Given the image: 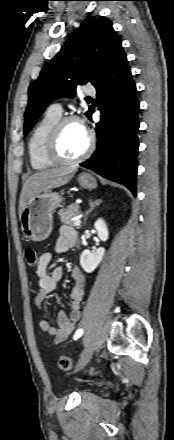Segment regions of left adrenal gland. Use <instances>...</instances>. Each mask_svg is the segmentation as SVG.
I'll use <instances>...</instances> for the list:
<instances>
[{
	"mask_svg": "<svg viewBox=\"0 0 174 440\" xmlns=\"http://www.w3.org/2000/svg\"><path fill=\"white\" fill-rule=\"evenodd\" d=\"M101 202H102L101 199L96 200V201L90 200V203H89L90 209L85 214L84 224H86L87 216L89 215V213H91L96 206L100 205Z\"/></svg>",
	"mask_w": 174,
	"mask_h": 440,
	"instance_id": "1",
	"label": "left adrenal gland"
}]
</instances>
